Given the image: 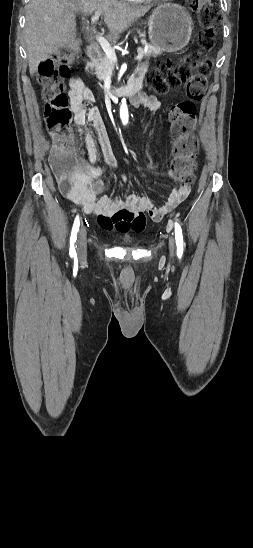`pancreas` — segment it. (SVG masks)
Instances as JSON below:
<instances>
[{
    "instance_id": "obj_1",
    "label": "pancreas",
    "mask_w": 253,
    "mask_h": 548,
    "mask_svg": "<svg viewBox=\"0 0 253 548\" xmlns=\"http://www.w3.org/2000/svg\"><path fill=\"white\" fill-rule=\"evenodd\" d=\"M137 51L138 53H141L144 58H149L151 56L156 57L162 53L160 47L153 45H147L146 51L143 48H138ZM86 69H90L91 71L94 70L99 80H105L107 74L113 69V63L105 54H103L97 59L88 62Z\"/></svg>"
}]
</instances>
